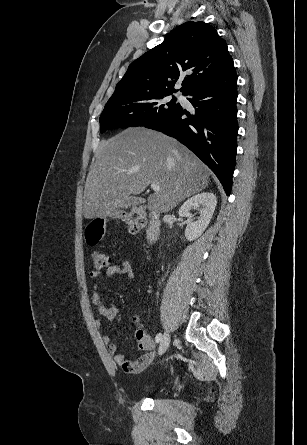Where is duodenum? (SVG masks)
<instances>
[{
	"label": "duodenum",
	"mask_w": 307,
	"mask_h": 445,
	"mask_svg": "<svg viewBox=\"0 0 307 445\" xmlns=\"http://www.w3.org/2000/svg\"><path fill=\"white\" fill-rule=\"evenodd\" d=\"M161 230V221L158 213L150 212L149 214V223L146 231V240L149 244L155 242Z\"/></svg>",
	"instance_id": "obj_1"
}]
</instances>
